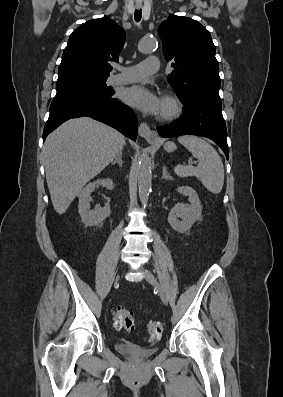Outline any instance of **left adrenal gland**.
<instances>
[{
  "instance_id": "obj_1",
  "label": "left adrenal gland",
  "mask_w": 283,
  "mask_h": 397,
  "mask_svg": "<svg viewBox=\"0 0 283 397\" xmlns=\"http://www.w3.org/2000/svg\"><path fill=\"white\" fill-rule=\"evenodd\" d=\"M162 178L165 180H173L172 176H170V174L167 172L166 166L163 167Z\"/></svg>"
}]
</instances>
